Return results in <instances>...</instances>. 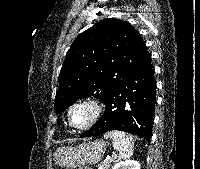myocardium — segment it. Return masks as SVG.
Listing matches in <instances>:
<instances>
[{
    "mask_svg": "<svg viewBox=\"0 0 200 169\" xmlns=\"http://www.w3.org/2000/svg\"><path fill=\"white\" fill-rule=\"evenodd\" d=\"M80 107L87 108L90 111L89 119L82 125H76L72 120V112ZM104 111L103 104L95 97L87 96L75 100L67 110V119L71 127L83 131L94 126L101 118Z\"/></svg>",
    "mask_w": 200,
    "mask_h": 169,
    "instance_id": "1",
    "label": "myocardium"
}]
</instances>
